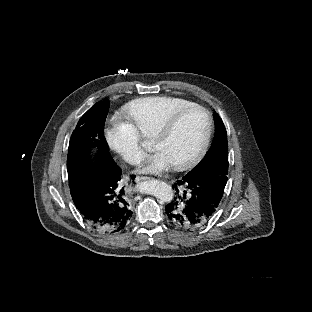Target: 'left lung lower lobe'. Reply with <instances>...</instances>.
Listing matches in <instances>:
<instances>
[{
  "mask_svg": "<svg viewBox=\"0 0 312 312\" xmlns=\"http://www.w3.org/2000/svg\"><path fill=\"white\" fill-rule=\"evenodd\" d=\"M228 171L206 170L193 176H184L174 185L183 189L182 196L166 206L169 222L183 229L205 225L217 212Z\"/></svg>",
  "mask_w": 312,
  "mask_h": 312,
  "instance_id": "left-lung-lower-lobe-1",
  "label": "left lung lower lobe"
}]
</instances>
